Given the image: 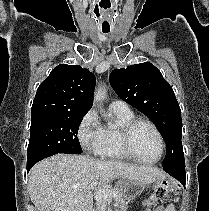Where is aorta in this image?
Here are the masks:
<instances>
[{"label":"aorta","mask_w":209,"mask_h":211,"mask_svg":"<svg viewBox=\"0 0 209 211\" xmlns=\"http://www.w3.org/2000/svg\"><path fill=\"white\" fill-rule=\"evenodd\" d=\"M104 97H105V90L101 87L98 88L94 93V101L100 102L104 99Z\"/></svg>","instance_id":"1"}]
</instances>
